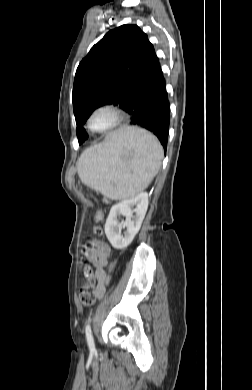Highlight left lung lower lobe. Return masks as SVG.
<instances>
[{"instance_id": "0a47b994", "label": "left lung lower lobe", "mask_w": 252, "mask_h": 390, "mask_svg": "<svg viewBox=\"0 0 252 390\" xmlns=\"http://www.w3.org/2000/svg\"><path fill=\"white\" fill-rule=\"evenodd\" d=\"M124 110L131 116L130 124L153 132L166 152L170 103L165 79L159 63L131 95ZM87 137V133H85L82 143Z\"/></svg>"}]
</instances>
